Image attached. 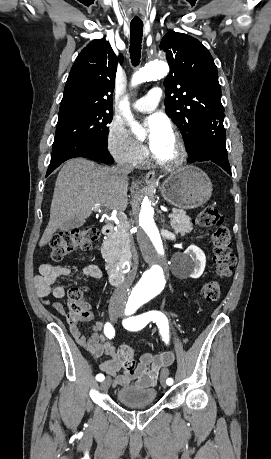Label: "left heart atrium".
Here are the masks:
<instances>
[{"label": "left heart atrium", "instance_id": "1", "mask_svg": "<svg viewBox=\"0 0 271 459\" xmlns=\"http://www.w3.org/2000/svg\"><path fill=\"white\" fill-rule=\"evenodd\" d=\"M147 141L151 150H154L161 139L170 134L168 121L160 115H153L146 121Z\"/></svg>", "mask_w": 271, "mask_h": 459}]
</instances>
